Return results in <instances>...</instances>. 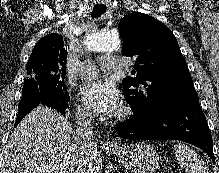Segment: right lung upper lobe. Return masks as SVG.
<instances>
[{"instance_id":"right-lung-upper-lobe-1","label":"right lung upper lobe","mask_w":219,"mask_h":173,"mask_svg":"<svg viewBox=\"0 0 219 173\" xmlns=\"http://www.w3.org/2000/svg\"><path fill=\"white\" fill-rule=\"evenodd\" d=\"M63 47L64 42L61 35L48 34L35 45L29 61L59 65L66 70L67 51Z\"/></svg>"}]
</instances>
